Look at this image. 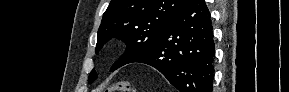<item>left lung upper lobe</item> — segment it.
<instances>
[{
	"label": "left lung upper lobe",
	"instance_id": "5c2ea615",
	"mask_svg": "<svg viewBox=\"0 0 289 92\" xmlns=\"http://www.w3.org/2000/svg\"><path fill=\"white\" fill-rule=\"evenodd\" d=\"M188 0H111L97 33L96 52L112 37L127 44L115 70L148 52ZM97 78L93 69L88 82Z\"/></svg>",
	"mask_w": 289,
	"mask_h": 92
}]
</instances>
